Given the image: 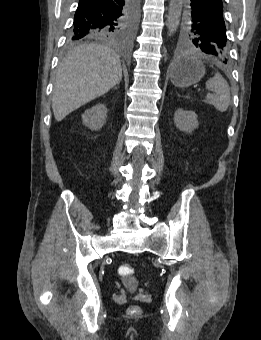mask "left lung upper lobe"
Masks as SVG:
<instances>
[{
	"instance_id": "1",
	"label": "left lung upper lobe",
	"mask_w": 261,
	"mask_h": 340,
	"mask_svg": "<svg viewBox=\"0 0 261 340\" xmlns=\"http://www.w3.org/2000/svg\"><path fill=\"white\" fill-rule=\"evenodd\" d=\"M179 41L183 47H196L204 53L227 62L229 46L224 14L203 17L193 14L188 0H182Z\"/></svg>"
}]
</instances>
